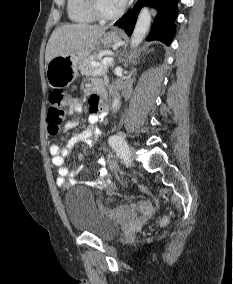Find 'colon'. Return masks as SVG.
<instances>
[{
  "label": "colon",
  "mask_w": 233,
  "mask_h": 284,
  "mask_svg": "<svg viewBox=\"0 0 233 284\" xmlns=\"http://www.w3.org/2000/svg\"><path fill=\"white\" fill-rule=\"evenodd\" d=\"M69 101L70 98L64 90L55 88L51 91L47 113L48 131L51 135H56L61 130ZM152 209L153 202L151 200H142L131 205H124L115 209L105 210L115 218L127 220L139 215H146L150 213Z\"/></svg>",
  "instance_id": "5ec220e1"
}]
</instances>
